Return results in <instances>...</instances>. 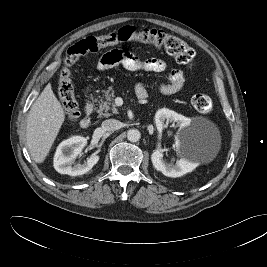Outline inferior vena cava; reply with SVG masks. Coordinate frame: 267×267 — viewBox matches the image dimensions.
Instances as JSON below:
<instances>
[{
  "mask_svg": "<svg viewBox=\"0 0 267 267\" xmlns=\"http://www.w3.org/2000/svg\"><path fill=\"white\" fill-rule=\"evenodd\" d=\"M101 126L105 131H115V130L120 129L121 124L118 120L108 119V120L103 121Z\"/></svg>",
  "mask_w": 267,
  "mask_h": 267,
  "instance_id": "602c4592",
  "label": "inferior vena cava"
}]
</instances>
